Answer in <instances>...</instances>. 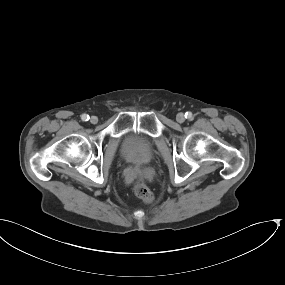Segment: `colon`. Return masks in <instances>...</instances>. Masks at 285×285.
Returning <instances> with one entry per match:
<instances>
[{"mask_svg": "<svg viewBox=\"0 0 285 285\" xmlns=\"http://www.w3.org/2000/svg\"><path fill=\"white\" fill-rule=\"evenodd\" d=\"M134 194L145 203H151L154 195L149 186L144 181H137L133 185Z\"/></svg>", "mask_w": 285, "mask_h": 285, "instance_id": "colon-1", "label": "colon"}]
</instances>
